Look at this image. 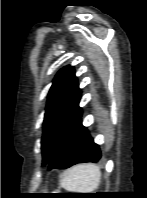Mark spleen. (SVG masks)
<instances>
[{
	"label": "spleen",
	"instance_id": "spleen-1",
	"mask_svg": "<svg viewBox=\"0 0 147 198\" xmlns=\"http://www.w3.org/2000/svg\"><path fill=\"white\" fill-rule=\"evenodd\" d=\"M101 172L95 164L76 165L61 178V186L73 193H92L100 183Z\"/></svg>",
	"mask_w": 147,
	"mask_h": 198
}]
</instances>
